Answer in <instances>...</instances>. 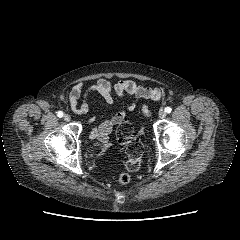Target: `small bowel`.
<instances>
[{"label":"small bowel","instance_id":"obj_1","mask_svg":"<svg viewBox=\"0 0 240 240\" xmlns=\"http://www.w3.org/2000/svg\"><path fill=\"white\" fill-rule=\"evenodd\" d=\"M91 93L100 94L108 104H112L115 101V97L128 95L133 98V102L126 106L127 110L134 109L135 102L139 98L158 100L162 96L160 89L141 86L132 80H119L112 84L105 78H99L86 89H84L82 83H79L69 91L68 99L70 107L74 112L85 114L89 111L88 97ZM124 119V111L105 119L99 126L92 129L90 139L99 143L105 142L113 127L123 122Z\"/></svg>","mask_w":240,"mask_h":240}]
</instances>
